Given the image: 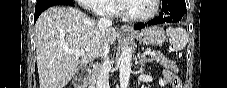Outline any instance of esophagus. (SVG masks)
I'll list each match as a JSON object with an SVG mask.
<instances>
[{"mask_svg": "<svg viewBox=\"0 0 227 88\" xmlns=\"http://www.w3.org/2000/svg\"><path fill=\"white\" fill-rule=\"evenodd\" d=\"M121 30L127 31V32H131L133 29H132V27H131L130 25H128V24H123V25L121 26Z\"/></svg>", "mask_w": 227, "mask_h": 88, "instance_id": "1", "label": "esophagus"}]
</instances>
